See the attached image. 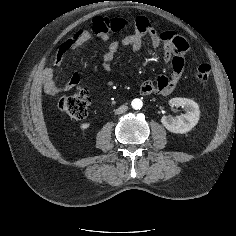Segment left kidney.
<instances>
[{"label":"left kidney","instance_id":"5707ae66","mask_svg":"<svg viewBox=\"0 0 236 236\" xmlns=\"http://www.w3.org/2000/svg\"><path fill=\"white\" fill-rule=\"evenodd\" d=\"M169 103L173 106L183 107L186 113L175 117L163 116L161 122L167 130L177 134H184L197 125L200 118V110L195 101L186 98H173Z\"/></svg>","mask_w":236,"mask_h":236}]
</instances>
